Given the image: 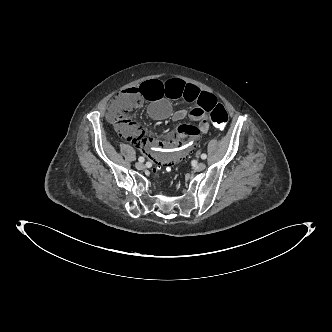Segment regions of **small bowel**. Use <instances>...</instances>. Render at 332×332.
<instances>
[{"label":"small bowel","mask_w":332,"mask_h":332,"mask_svg":"<svg viewBox=\"0 0 332 332\" xmlns=\"http://www.w3.org/2000/svg\"><path fill=\"white\" fill-rule=\"evenodd\" d=\"M140 95L145 101L150 102L148 113L152 118L163 120L172 117L176 121L190 118L197 123V128L182 125L177 132L168 134L165 141L147 135L135 125L124 135L130 137L153 162L161 167H170L178 160H184L197 134L208 132L209 120L206 113L217 102L216 97L183 80L172 78L166 81L162 77L146 79L140 86ZM170 100H183L190 103L191 107L172 112Z\"/></svg>","instance_id":"small-bowel-1"}]
</instances>
